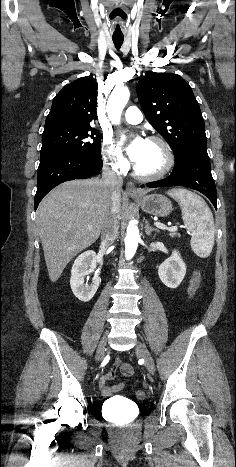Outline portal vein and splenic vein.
<instances>
[{"mask_svg":"<svg viewBox=\"0 0 236 467\" xmlns=\"http://www.w3.org/2000/svg\"><path fill=\"white\" fill-rule=\"evenodd\" d=\"M154 225L159 228V229H162V230H168V231H176L177 230V227L176 226H173V227H167L165 226L164 224L160 223V222H155ZM91 228V227H89Z\"/></svg>","mask_w":236,"mask_h":467,"instance_id":"18ae733b","label":"portal vein and splenic vein"}]
</instances>
